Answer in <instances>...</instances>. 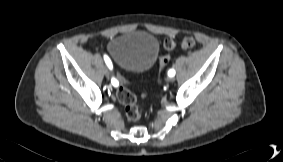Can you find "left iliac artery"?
Returning a JSON list of instances; mask_svg holds the SVG:
<instances>
[{
	"mask_svg": "<svg viewBox=\"0 0 283 162\" xmlns=\"http://www.w3.org/2000/svg\"><path fill=\"white\" fill-rule=\"evenodd\" d=\"M175 75V70L174 69H170L169 71H168V76L169 77H173Z\"/></svg>",
	"mask_w": 283,
	"mask_h": 162,
	"instance_id": "44dca946",
	"label": "left iliac artery"
}]
</instances>
